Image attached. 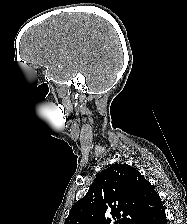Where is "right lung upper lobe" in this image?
I'll return each instance as SVG.
<instances>
[{
    "label": "right lung upper lobe",
    "instance_id": "right-lung-upper-lobe-1",
    "mask_svg": "<svg viewBox=\"0 0 187 224\" xmlns=\"http://www.w3.org/2000/svg\"><path fill=\"white\" fill-rule=\"evenodd\" d=\"M164 212L161 199L138 170L112 164L95 178L77 201L64 224H143Z\"/></svg>",
    "mask_w": 187,
    "mask_h": 224
}]
</instances>
